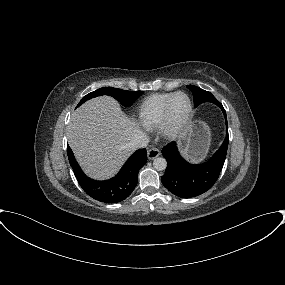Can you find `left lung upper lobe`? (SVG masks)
I'll return each mask as SVG.
<instances>
[{"instance_id":"5c2ea615","label":"left lung upper lobe","mask_w":285,"mask_h":285,"mask_svg":"<svg viewBox=\"0 0 285 285\" xmlns=\"http://www.w3.org/2000/svg\"><path fill=\"white\" fill-rule=\"evenodd\" d=\"M187 88L193 93L194 106L197 107L204 102L220 103L210 92L205 91L194 85H187Z\"/></svg>"}]
</instances>
